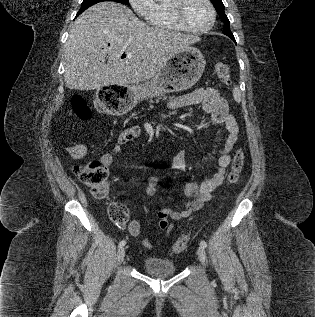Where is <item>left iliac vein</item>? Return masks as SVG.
Returning a JSON list of instances; mask_svg holds the SVG:
<instances>
[{
    "label": "left iliac vein",
    "mask_w": 315,
    "mask_h": 317,
    "mask_svg": "<svg viewBox=\"0 0 315 317\" xmlns=\"http://www.w3.org/2000/svg\"><path fill=\"white\" fill-rule=\"evenodd\" d=\"M197 254H198V258H199L200 262H201L202 264H205V261H206V251H205L204 247L199 246V247H198Z\"/></svg>",
    "instance_id": "4c4485c4"
}]
</instances>
